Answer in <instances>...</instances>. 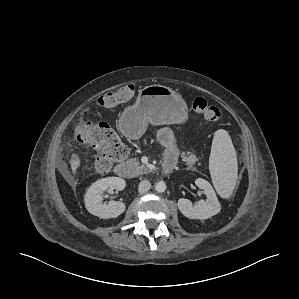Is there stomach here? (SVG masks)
Returning <instances> with one entry per match:
<instances>
[{"mask_svg": "<svg viewBox=\"0 0 299 299\" xmlns=\"http://www.w3.org/2000/svg\"><path fill=\"white\" fill-rule=\"evenodd\" d=\"M188 119V108L183 97L163 85L146 86L139 91L134 105L121 116L123 131L130 137L141 136L147 125L183 124Z\"/></svg>", "mask_w": 299, "mask_h": 299, "instance_id": "stomach-1", "label": "stomach"}]
</instances>
